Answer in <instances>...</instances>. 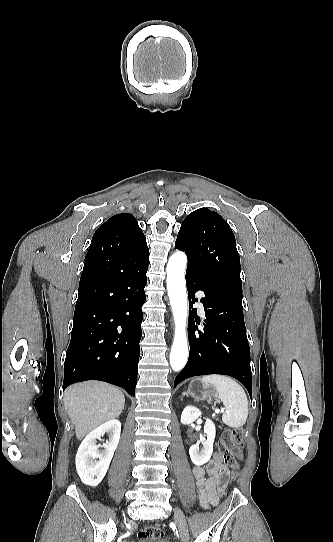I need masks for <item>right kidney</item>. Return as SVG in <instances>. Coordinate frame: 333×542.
Here are the masks:
<instances>
[{
  "instance_id": "ca27d5eb",
  "label": "right kidney",
  "mask_w": 333,
  "mask_h": 542,
  "mask_svg": "<svg viewBox=\"0 0 333 542\" xmlns=\"http://www.w3.org/2000/svg\"><path fill=\"white\" fill-rule=\"evenodd\" d=\"M121 424L119 420H109L92 430L81 442L75 458L77 474L85 486H98L102 482L119 444ZM109 434V442L97 446L98 438ZM104 448V450H98Z\"/></svg>"
}]
</instances>
